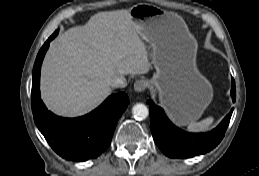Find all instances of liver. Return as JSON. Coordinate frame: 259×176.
<instances>
[{
    "instance_id": "obj_1",
    "label": "liver",
    "mask_w": 259,
    "mask_h": 176,
    "mask_svg": "<svg viewBox=\"0 0 259 176\" xmlns=\"http://www.w3.org/2000/svg\"><path fill=\"white\" fill-rule=\"evenodd\" d=\"M130 9L99 12L50 45L41 69V98L54 113L84 115L110 94V82L148 73L151 63Z\"/></svg>"
}]
</instances>
